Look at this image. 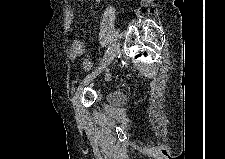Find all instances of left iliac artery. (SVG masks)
Segmentation results:
<instances>
[{"label":"left iliac artery","mask_w":225,"mask_h":159,"mask_svg":"<svg viewBox=\"0 0 225 159\" xmlns=\"http://www.w3.org/2000/svg\"><path fill=\"white\" fill-rule=\"evenodd\" d=\"M111 44L109 45V47H108V49L106 50V52H105V56L109 53V51H110V49H111Z\"/></svg>","instance_id":"44dca946"}]
</instances>
